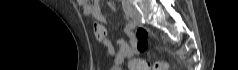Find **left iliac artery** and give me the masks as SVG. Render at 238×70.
Wrapping results in <instances>:
<instances>
[{"instance_id": "44dca946", "label": "left iliac artery", "mask_w": 238, "mask_h": 70, "mask_svg": "<svg viewBox=\"0 0 238 70\" xmlns=\"http://www.w3.org/2000/svg\"><path fill=\"white\" fill-rule=\"evenodd\" d=\"M122 6H123V9H124V12H125L126 16H129V14H130V6H129L128 0H123Z\"/></svg>"}]
</instances>
